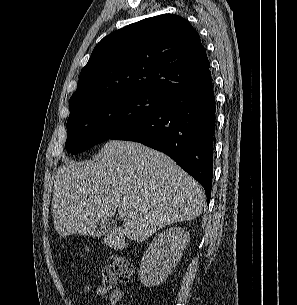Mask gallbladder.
<instances>
[{
    "instance_id": "1",
    "label": "gallbladder",
    "mask_w": 297,
    "mask_h": 305,
    "mask_svg": "<svg viewBox=\"0 0 297 305\" xmlns=\"http://www.w3.org/2000/svg\"><path fill=\"white\" fill-rule=\"evenodd\" d=\"M116 228H117V225L114 221L106 220V221L101 222L98 225V227L95 230H93L91 233L87 234V236L96 238V237L108 234Z\"/></svg>"
}]
</instances>
